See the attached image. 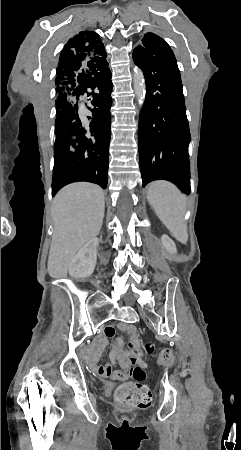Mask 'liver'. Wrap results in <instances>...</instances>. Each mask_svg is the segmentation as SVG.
Returning <instances> with one entry per match:
<instances>
[{
  "label": "liver",
  "mask_w": 241,
  "mask_h": 450,
  "mask_svg": "<svg viewBox=\"0 0 241 450\" xmlns=\"http://www.w3.org/2000/svg\"><path fill=\"white\" fill-rule=\"evenodd\" d=\"M103 190L77 182L57 192L51 208L54 234L48 258L51 278H66L78 250L98 236L104 218Z\"/></svg>",
  "instance_id": "obj_1"
}]
</instances>
